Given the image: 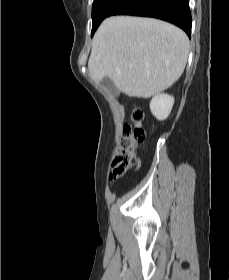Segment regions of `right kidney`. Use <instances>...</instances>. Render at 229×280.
<instances>
[{
    "instance_id": "right-kidney-1",
    "label": "right kidney",
    "mask_w": 229,
    "mask_h": 280,
    "mask_svg": "<svg viewBox=\"0 0 229 280\" xmlns=\"http://www.w3.org/2000/svg\"><path fill=\"white\" fill-rule=\"evenodd\" d=\"M174 98L168 94H158L150 102V110L158 120H165L173 107Z\"/></svg>"
}]
</instances>
